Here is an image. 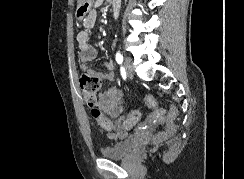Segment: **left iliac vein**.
Returning <instances> with one entry per match:
<instances>
[{
    "mask_svg": "<svg viewBox=\"0 0 244 179\" xmlns=\"http://www.w3.org/2000/svg\"><path fill=\"white\" fill-rule=\"evenodd\" d=\"M124 69L126 71V74L130 77H133L134 74V68H133V63L132 60L129 57H126L124 59Z\"/></svg>",
    "mask_w": 244,
    "mask_h": 179,
    "instance_id": "obj_1",
    "label": "left iliac vein"
}]
</instances>
